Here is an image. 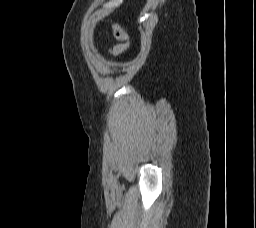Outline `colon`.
I'll return each mask as SVG.
<instances>
[{
  "label": "colon",
  "mask_w": 256,
  "mask_h": 228,
  "mask_svg": "<svg viewBox=\"0 0 256 228\" xmlns=\"http://www.w3.org/2000/svg\"><path fill=\"white\" fill-rule=\"evenodd\" d=\"M112 30L115 39L119 42L112 49V55L117 57L129 49L131 40L128 33L120 25L113 24Z\"/></svg>",
  "instance_id": "colon-1"
}]
</instances>
